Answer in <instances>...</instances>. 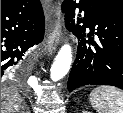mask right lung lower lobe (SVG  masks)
I'll list each match as a JSON object with an SVG mask.
<instances>
[{
	"mask_svg": "<svg viewBox=\"0 0 123 113\" xmlns=\"http://www.w3.org/2000/svg\"><path fill=\"white\" fill-rule=\"evenodd\" d=\"M45 19L39 0H13L1 6V80L19 68L28 48L44 37Z\"/></svg>",
	"mask_w": 123,
	"mask_h": 113,
	"instance_id": "1",
	"label": "right lung lower lobe"
}]
</instances>
